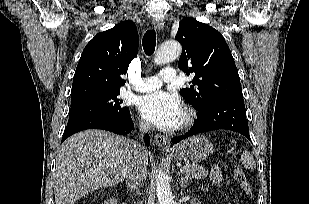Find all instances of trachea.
I'll use <instances>...</instances> for the list:
<instances>
[{"label": "trachea", "instance_id": "1", "mask_svg": "<svg viewBox=\"0 0 309 204\" xmlns=\"http://www.w3.org/2000/svg\"><path fill=\"white\" fill-rule=\"evenodd\" d=\"M143 49L147 55H152L155 50L156 33L155 30H148L143 36Z\"/></svg>", "mask_w": 309, "mask_h": 204}]
</instances>
